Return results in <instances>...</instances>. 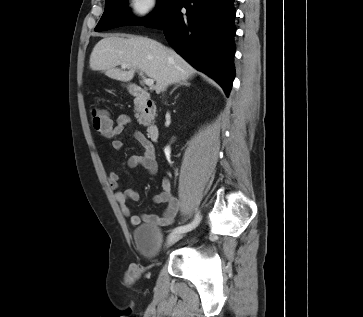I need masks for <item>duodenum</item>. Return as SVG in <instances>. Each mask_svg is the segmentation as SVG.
Returning <instances> with one entry per match:
<instances>
[{
	"label": "duodenum",
	"mask_w": 363,
	"mask_h": 317,
	"mask_svg": "<svg viewBox=\"0 0 363 317\" xmlns=\"http://www.w3.org/2000/svg\"><path fill=\"white\" fill-rule=\"evenodd\" d=\"M131 95L138 100L145 110H150L153 106L150 94L143 88L137 85H130L129 87ZM147 131L149 137L153 141H157L160 137L159 127L153 123L147 125Z\"/></svg>",
	"instance_id": "410a0bca"
}]
</instances>
